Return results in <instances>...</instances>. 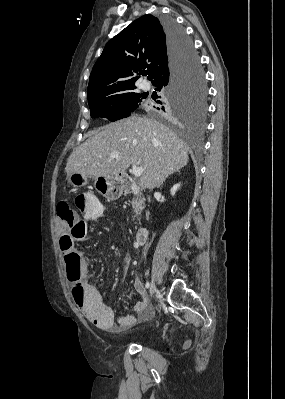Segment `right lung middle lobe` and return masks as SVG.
I'll return each mask as SVG.
<instances>
[{
  "instance_id": "right-lung-middle-lobe-1",
  "label": "right lung middle lobe",
  "mask_w": 285,
  "mask_h": 399,
  "mask_svg": "<svg viewBox=\"0 0 285 399\" xmlns=\"http://www.w3.org/2000/svg\"><path fill=\"white\" fill-rule=\"evenodd\" d=\"M191 41V40H190ZM167 106L157 107L162 115L172 116L182 121L201 117L206 110V86L198 56L194 51L193 60L186 68L182 79L172 89L163 90ZM146 96L129 89L111 96L88 101L92 118H107L111 122L129 117L144 102Z\"/></svg>"
}]
</instances>
